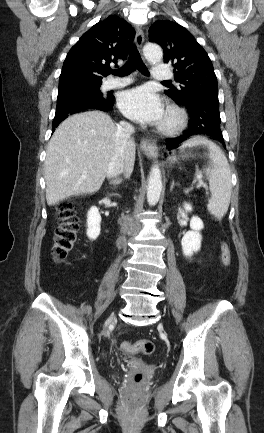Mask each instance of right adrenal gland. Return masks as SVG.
<instances>
[{"label": "right adrenal gland", "instance_id": "obj_1", "mask_svg": "<svg viewBox=\"0 0 264 433\" xmlns=\"http://www.w3.org/2000/svg\"><path fill=\"white\" fill-rule=\"evenodd\" d=\"M122 183V179L121 178H117L113 181L110 182V185H113L114 187L120 185Z\"/></svg>", "mask_w": 264, "mask_h": 433}]
</instances>
